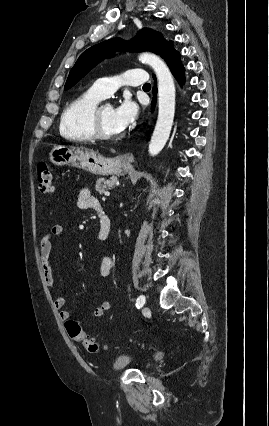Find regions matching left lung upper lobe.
Segmentation results:
<instances>
[{"label":"left lung upper lobe","mask_w":269,"mask_h":426,"mask_svg":"<svg viewBox=\"0 0 269 426\" xmlns=\"http://www.w3.org/2000/svg\"><path fill=\"white\" fill-rule=\"evenodd\" d=\"M172 41H166L162 34L143 28L130 42L114 38L90 47L83 52L71 69L64 89H70L105 57L113 56L116 51H151L160 55Z\"/></svg>","instance_id":"1"}]
</instances>
